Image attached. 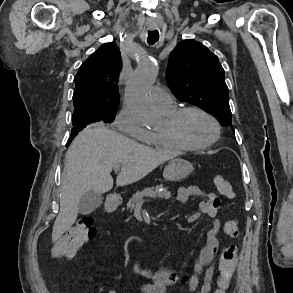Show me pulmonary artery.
<instances>
[{
	"label": "pulmonary artery",
	"instance_id": "1",
	"mask_svg": "<svg viewBox=\"0 0 293 293\" xmlns=\"http://www.w3.org/2000/svg\"><path fill=\"white\" fill-rule=\"evenodd\" d=\"M151 99L153 103L161 110L172 108L175 103L174 96L161 87H154L152 89Z\"/></svg>",
	"mask_w": 293,
	"mask_h": 293
}]
</instances>
